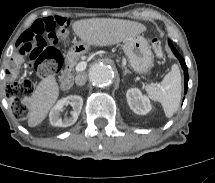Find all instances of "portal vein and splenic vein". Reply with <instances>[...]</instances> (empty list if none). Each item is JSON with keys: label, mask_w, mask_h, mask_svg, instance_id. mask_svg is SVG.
Instances as JSON below:
<instances>
[{"label": "portal vein and splenic vein", "mask_w": 215, "mask_h": 183, "mask_svg": "<svg viewBox=\"0 0 215 183\" xmlns=\"http://www.w3.org/2000/svg\"><path fill=\"white\" fill-rule=\"evenodd\" d=\"M86 66H87L86 62L81 61L76 65V71L77 72L84 71L86 69Z\"/></svg>", "instance_id": "obj_1"}]
</instances>
